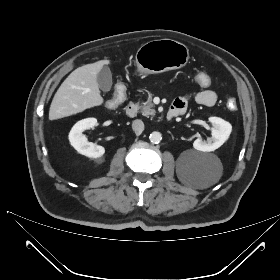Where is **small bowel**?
Returning <instances> with one entry per match:
<instances>
[{
  "instance_id": "1",
  "label": "small bowel",
  "mask_w": 280,
  "mask_h": 280,
  "mask_svg": "<svg viewBox=\"0 0 280 280\" xmlns=\"http://www.w3.org/2000/svg\"><path fill=\"white\" fill-rule=\"evenodd\" d=\"M195 100L201 105L213 106L217 102V94L210 89L199 91L195 95ZM171 107H175L184 113L187 108V102L184 98H176Z\"/></svg>"
}]
</instances>
